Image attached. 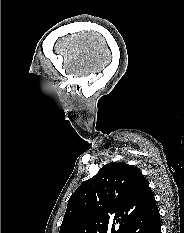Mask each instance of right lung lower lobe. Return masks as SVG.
Returning <instances> with one entry per match:
<instances>
[{"label": "right lung lower lobe", "mask_w": 184, "mask_h": 233, "mask_svg": "<svg viewBox=\"0 0 184 233\" xmlns=\"http://www.w3.org/2000/svg\"><path fill=\"white\" fill-rule=\"evenodd\" d=\"M160 214L156 203L124 233H161Z\"/></svg>", "instance_id": "right-lung-lower-lobe-1"}]
</instances>
